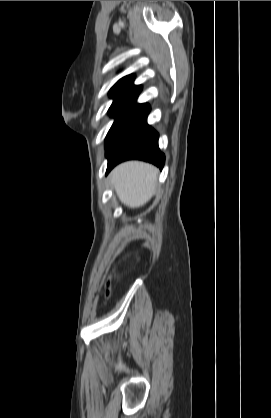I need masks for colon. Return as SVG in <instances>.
<instances>
[{"mask_svg": "<svg viewBox=\"0 0 271 418\" xmlns=\"http://www.w3.org/2000/svg\"><path fill=\"white\" fill-rule=\"evenodd\" d=\"M109 286H110V281L107 282V289H106V293H105L106 297H108L109 294H110Z\"/></svg>", "mask_w": 271, "mask_h": 418, "instance_id": "1", "label": "colon"}]
</instances>
